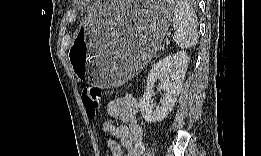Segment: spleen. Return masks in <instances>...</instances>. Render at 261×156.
Masks as SVG:
<instances>
[{
  "instance_id": "spleen-1",
  "label": "spleen",
  "mask_w": 261,
  "mask_h": 156,
  "mask_svg": "<svg viewBox=\"0 0 261 156\" xmlns=\"http://www.w3.org/2000/svg\"><path fill=\"white\" fill-rule=\"evenodd\" d=\"M172 25L175 29L174 41L182 48L192 49L198 38L197 18L188 1H176L172 8Z\"/></svg>"
}]
</instances>
